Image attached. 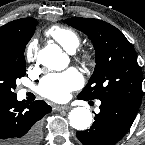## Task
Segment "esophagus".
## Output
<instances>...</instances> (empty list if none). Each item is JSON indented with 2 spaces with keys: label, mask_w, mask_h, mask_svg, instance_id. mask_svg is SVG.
I'll use <instances>...</instances> for the list:
<instances>
[{
  "label": "esophagus",
  "mask_w": 145,
  "mask_h": 145,
  "mask_svg": "<svg viewBox=\"0 0 145 145\" xmlns=\"http://www.w3.org/2000/svg\"><path fill=\"white\" fill-rule=\"evenodd\" d=\"M69 106H66V105H64V106H56V110H58V111H66V110H69Z\"/></svg>",
  "instance_id": "obj_1"
}]
</instances>
